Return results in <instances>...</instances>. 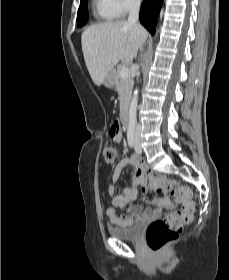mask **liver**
Returning a JSON list of instances; mask_svg holds the SVG:
<instances>
[{
	"label": "liver",
	"mask_w": 229,
	"mask_h": 280,
	"mask_svg": "<svg viewBox=\"0 0 229 280\" xmlns=\"http://www.w3.org/2000/svg\"><path fill=\"white\" fill-rule=\"evenodd\" d=\"M146 37L142 26L127 21L103 22L85 29L82 51L93 82L100 86L119 61L131 62Z\"/></svg>",
	"instance_id": "obj_1"
}]
</instances>
